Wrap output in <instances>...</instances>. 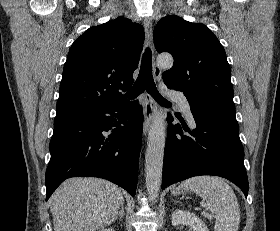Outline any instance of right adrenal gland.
I'll use <instances>...</instances> for the list:
<instances>
[{
  "label": "right adrenal gland",
  "mask_w": 280,
  "mask_h": 231,
  "mask_svg": "<svg viewBox=\"0 0 280 231\" xmlns=\"http://www.w3.org/2000/svg\"><path fill=\"white\" fill-rule=\"evenodd\" d=\"M123 215H124V203H121V209H120V211H118V213H116L113 221H116V219H118V217H120V219H122Z\"/></svg>",
  "instance_id": "2a0ac1e0"
}]
</instances>
